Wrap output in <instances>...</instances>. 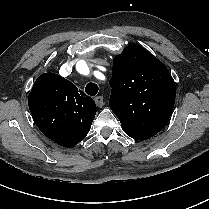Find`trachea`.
Returning <instances> with one entry per match:
<instances>
[{
    "instance_id": "obj_1",
    "label": "trachea",
    "mask_w": 209,
    "mask_h": 209,
    "mask_svg": "<svg viewBox=\"0 0 209 209\" xmlns=\"http://www.w3.org/2000/svg\"><path fill=\"white\" fill-rule=\"evenodd\" d=\"M85 92L90 96H95L98 93V86L95 83H88L85 87Z\"/></svg>"
}]
</instances>
